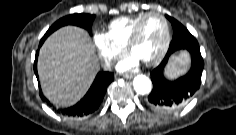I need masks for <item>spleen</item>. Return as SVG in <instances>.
<instances>
[{"label":"spleen","mask_w":236,"mask_h":135,"mask_svg":"<svg viewBox=\"0 0 236 135\" xmlns=\"http://www.w3.org/2000/svg\"><path fill=\"white\" fill-rule=\"evenodd\" d=\"M189 61L190 58L187 52H182L177 56H173L171 58V64L166 71L167 76L173 78L184 73L187 70Z\"/></svg>","instance_id":"1"}]
</instances>
